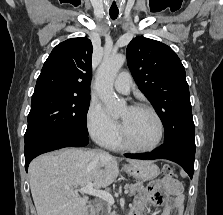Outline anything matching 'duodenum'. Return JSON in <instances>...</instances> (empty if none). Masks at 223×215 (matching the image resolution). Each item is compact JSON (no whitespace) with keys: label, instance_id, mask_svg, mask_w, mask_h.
<instances>
[{"label":"duodenum","instance_id":"obj_1","mask_svg":"<svg viewBox=\"0 0 223 215\" xmlns=\"http://www.w3.org/2000/svg\"><path fill=\"white\" fill-rule=\"evenodd\" d=\"M85 215H95V213H94V209H93V206H92V205H89V206L87 207V210H86Z\"/></svg>","mask_w":223,"mask_h":215}]
</instances>
